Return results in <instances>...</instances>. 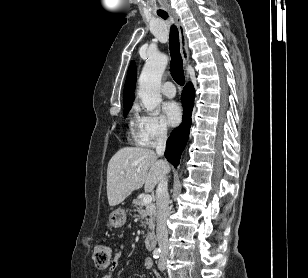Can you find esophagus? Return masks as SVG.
Here are the masks:
<instances>
[{
    "label": "esophagus",
    "mask_w": 308,
    "mask_h": 278,
    "mask_svg": "<svg viewBox=\"0 0 308 278\" xmlns=\"http://www.w3.org/2000/svg\"><path fill=\"white\" fill-rule=\"evenodd\" d=\"M177 28H178V32H179V40H180V50H181V55H182V59H183V63L184 66L186 67L189 61V50H188V46H187V38L185 35V29L184 26L179 18V16L175 13V12H171Z\"/></svg>",
    "instance_id": "34e87169"
}]
</instances>
